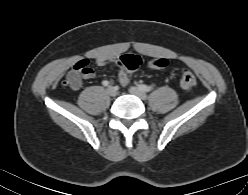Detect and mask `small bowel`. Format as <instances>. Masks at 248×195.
<instances>
[{"label": "small bowel", "instance_id": "obj_1", "mask_svg": "<svg viewBox=\"0 0 248 195\" xmlns=\"http://www.w3.org/2000/svg\"><path fill=\"white\" fill-rule=\"evenodd\" d=\"M119 58L120 57L117 56L115 57L96 56L93 58V61L99 66H104L107 64L118 66L120 68L118 74L119 82L122 85L126 86L129 83V76L126 70L121 66ZM94 75H95V70L89 66H86V71L83 74V77L86 79H90L94 77Z\"/></svg>", "mask_w": 248, "mask_h": 195}]
</instances>
